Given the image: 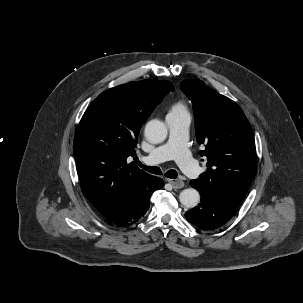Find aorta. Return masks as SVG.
Masks as SVG:
<instances>
[{
  "label": "aorta",
  "instance_id": "762f6f07",
  "mask_svg": "<svg viewBox=\"0 0 303 303\" xmlns=\"http://www.w3.org/2000/svg\"><path fill=\"white\" fill-rule=\"evenodd\" d=\"M144 132L147 140L154 144L163 142L168 133L165 124L157 119L149 121L145 126ZM179 200L183 206L194 208L200 201V194L194 188H187L180 193Z\"/></svg>",
  "mask_w": 303,
  "mask_h": 303
}]
</instances>
